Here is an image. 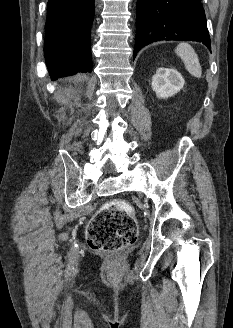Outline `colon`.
<instances>
[{
    "mask_svg": "<svg viewBox=\"0 0 233 328\" xmlns=\"http://www.w3.org/2000/svg\"><path fill=\"white\" fill-rule=\"evenodd\" d=\"M86 238L89 246L102 252H118L137 238V223L132 207L119 200L106 203L91 219Z\"/></svg>",
    "mask_w": 233,
    "mask_h": 328,
    "instance_id": "1",
    "label": "colon"
}]
</instances>
